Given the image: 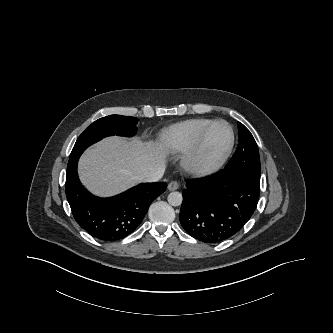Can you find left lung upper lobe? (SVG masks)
Returning <instances> with one entry per match:
<instances>
[{"label": "left lung upper lobe", "instance_id": "1", "mask_svg": "<svg viewBox=\"0 0 333 333\" xmlns=\"http://www.w3.org/2000/svg\"><path fill=\"white\" fill-rule=\"evenodd\" d=\"M239 145L226 165V169L238 170L260 182V158L255 139L250 131L238 123Z\"/></svg>", "mask_w": 333, "mask_h": 333}]
</instances>
